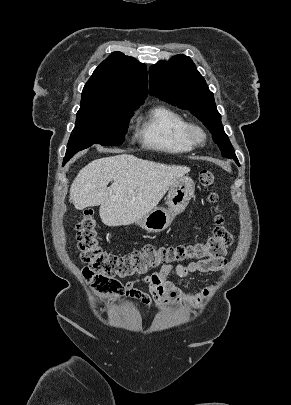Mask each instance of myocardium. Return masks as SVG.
Masks as SVG:
<instances>
[{"mask_svg": "<svg viewBox=\"0 0 291 405\" xmlns=\"http://www.w3.org/2000/svg\"><path fill=\"white\" fill-rule=\"evenodd\" d=\"M186 137L193 146H203L207 141V133L205 129L196 123H188Z\"/></svg>", "mask_w": 291, "mask_h": 405, "instance_id": "myocardium-1", "label": "myocardium"}]
</instances>
